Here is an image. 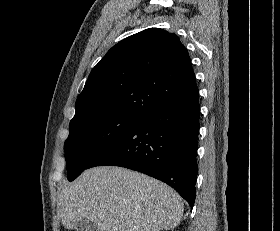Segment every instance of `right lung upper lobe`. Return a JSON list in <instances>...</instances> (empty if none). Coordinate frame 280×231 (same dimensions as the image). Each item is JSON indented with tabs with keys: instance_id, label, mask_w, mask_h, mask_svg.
<instances>
[{
	"instance_id": "cb5924a9",
	"label": "right lung upper lobe",
	"mask_w": 280,
	"mask_h": 231,
	"mask_svg": "<svg viewBox=\"0 0 280 231\" xmlns=\"http://www.w3.org/2000/svg\"><path fill=\"white\" fill-rule=\"evenodd\" d=\"M198 95L189 54L177 35L149 28L112 47L92 69L74 119L130 116Z\"/></svg>"
}]
</instances>
